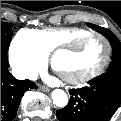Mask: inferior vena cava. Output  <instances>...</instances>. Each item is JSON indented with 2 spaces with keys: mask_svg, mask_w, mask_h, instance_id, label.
<instances>
[{
  "mask_svg": "<svg viewBox=\"0 0 121 121\" xmlns=\"http://www.w3.org/2000/svg\"><path fill=\"white\" fill-rule=\"evenodd\" d=\"M12 74L15 78L24 80V79H30L32 81L37 80L38 74L34 70L32 71H25L20 69H13Z\"/></svg>",
  "mask_w": 121,
  "mask_h": 121,
  "instance_id": "1",
  "label": "inferior vena cava"
}]
</instances>
